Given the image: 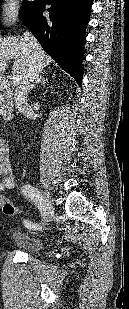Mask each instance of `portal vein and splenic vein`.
Masks as SVG:
<instances>
[{"mask_svg": "<svg viewBox=\"0 0 129 309\" xmlns=\"http://www.w3.org/2000/svg\"><path fill=\"white\" fill-rule=\"evenodd\" d=\"M13 84H17L19 79L15 76L12 77Z\"/></svg>", "mask_w": 129, "mask_h": 309, "instance_id": "18ae733b", "label": "portal vein and splenic vein"}]
</instances>
